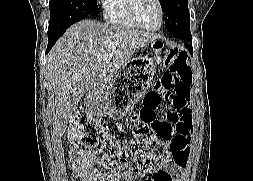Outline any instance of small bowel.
<instances>
[{
    "instance_id": "small-bowel-1",
    "label": "small bowel",
    "mask_w": 253,
    "mask_h": 181,
    "mask_svg": "<svg viewBox=\"0 0 253 181\" xmlns=\"http://www.w3.org/2000/svg\"><path fill=\"white\" fill-rule=\"evenodd\" d=\"M172 130H180L175 141L174 158L163 167H150L148 181H182L183 172L186 169L190 154L191 135L193 125L191 116L185 118L177 125H172ZM69 166L73 175L79 181H134L133 173L112 174L101 172L96 166V161L91 154L84 153L78 148L69 150Z\"/></svg>"
}]
</instances>
